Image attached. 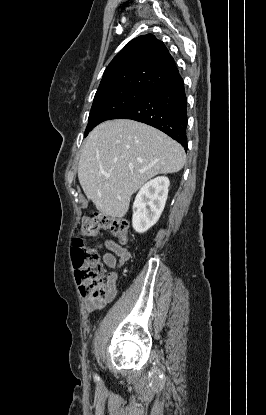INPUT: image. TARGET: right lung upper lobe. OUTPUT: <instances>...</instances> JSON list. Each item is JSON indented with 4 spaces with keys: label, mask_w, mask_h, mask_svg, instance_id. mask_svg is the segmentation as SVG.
<instances>
[{
    "label": "right lung upper lobe",
    "mask_w": 266,
    "mask_h": 415,
    "mask_svg": "<svg viewBox=\"0 0 266 415\" xmlns=\"http://www.w3.org/2000/svg\"><path fill=\"white\" fill-rule=\"evenodd\" d=\"M173 57L154 35L130 41L106 67L96 93L114 89L151 91L179 77Z\"/></svg>",
    "instance_id": "1"
}]
</instances>
